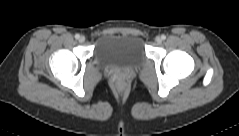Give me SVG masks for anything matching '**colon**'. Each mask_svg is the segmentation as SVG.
Masks as SVG:
<instances>
[{"label": "colon", "instance_id": "obj_1", "mask_svg": "<svg viewBox=\"0 0 239 136\" xmlns=\"http://www.w3.org/2000/svg\"><path fill=\"white\" fill-rule=\"evenodd\" d=\"M125 87H126V82H125V80L123 79V78H119V79H117L116 80V82H115V88L117 89V90H124L125 89Z\"/></svg>", "mask_w": 239, "mask_h": 136}]
</instances>
